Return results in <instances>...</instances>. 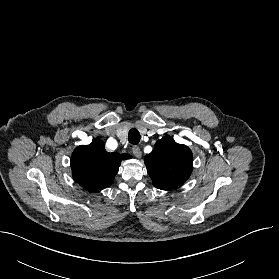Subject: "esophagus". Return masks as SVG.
<instances>
[{
    "label": "esophagus",
    "mask_w": 279,
    "mask_h": 279,
    "mask_svg": "<svg viewBox=\"0 0 279 279\" xmlns=\"http://www.w3.org/2000/svg\"><path fill=\"white\" fill-rule=\"evenodd\" d=\"M132 152H133V154L137 157V158H141V156H142V151H141V149H140V147L139 146H133L132 147Z\"/></svg>",
    "instance_id": "esophagus-1"
}]
</instances>
